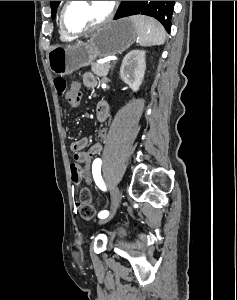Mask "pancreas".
I'll return each mask as SVG.
<instances>
[{
  "label": "pancreas",
  "mask_w": 237,
  "mask_h": 300,
  "mask_svg": "<svg viewBox=\"0 0 237 300\" xmlns=\"http://www.w3.org/2000/svg\"><path fill=\"white\" fill-rule=\"evenodd\" d=\"M107 63H91V71H93L94 75H98V77H106L109 73V69H111L113 63H109L111 66L109 69L103 68V65ZM108 65V64H107Z\"/></svg>",
  "instance_id": "1"
}]
</instances>
